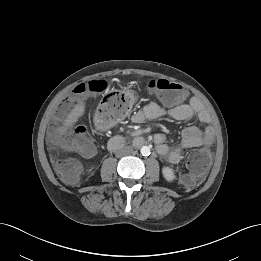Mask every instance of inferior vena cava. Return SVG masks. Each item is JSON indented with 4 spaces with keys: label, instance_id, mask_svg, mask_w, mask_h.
Returning <instances> with one entry per match:
<instances>
[{
    "label": "inferior vena cava",
    "instance_id": "602c4592",
    "mask_svg": "<svg viewBox=\"0 0 261 261\" xmlns=\"http://www.w3.org/2000/svg\"><path fill=\"white\" fill-rule=\"evenodd\" d=\"M119 153L121 155H129V154L133 153V148L131 146H125V147L121 148Z\"/></svg>",
    "mask_w": 261,
    "mask_h": 261
}]
</instances>
